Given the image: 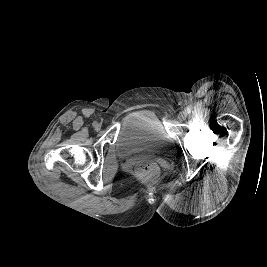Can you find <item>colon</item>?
<instances>
[{
	"instance_id": "obj_1",
	"label": "colon",
	"mask_w": 267,
	"mask_h": 267,
	"mask_svg": "<svg viewBox=\"0 0 267 267\" xmlns=\"http://www.w3.org/2000/svg\"><path fill=\"white\" fill-rule=\"evenodd\" d=\"M158 166L149 161L141 162L136 166V174L140 180L153 185L158 177Z\"/></svg>"
}]
</instances>
